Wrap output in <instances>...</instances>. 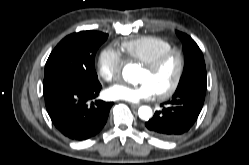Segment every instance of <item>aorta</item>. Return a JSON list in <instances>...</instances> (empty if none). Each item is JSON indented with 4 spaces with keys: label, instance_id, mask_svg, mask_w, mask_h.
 I'll use <instances>...</instances> for the list:
<instances>
[{
    "label": "aorta",
    "instance_id": "obj_1",
    "mask_svg": "<svg viewBox=\"0 0 249 165\" xmlns=\"http://www.w3.org/2000/svg\"><path fill=\"white\" fill-rule=\"evenodd\" d=\"M133 75L134 66L127 64L122 71L123 78L132 81ZM138 115L142 120H149L152 117V109L149 106H141L138 110Z\"/></svg>",
    "mask_w": 249,
    "mask_h": 165
}]
</instances>
